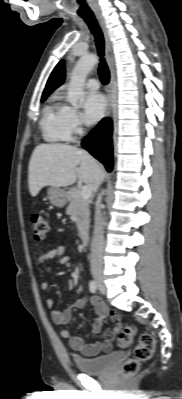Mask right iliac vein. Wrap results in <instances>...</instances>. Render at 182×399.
Wrapping results in <instances>:
<instances>
[{"instance_id":"1","label":"right iliac vein","mask_w":182,"mask_h":399,"mask_svg":"<svg viewBox=\"0 0 182 399\" xmlns=\"http://www.w3.org/2000/svg\"><path fill=\"white\" fill-rule=\"evenodd\" d=\"M94 279H95V282L98 284L100 290H101L103 293H105V292H106V287H105V285H104V283H103L102 276L99 275V274H97V275H95Z\"/></svg>"}]
</instances>
